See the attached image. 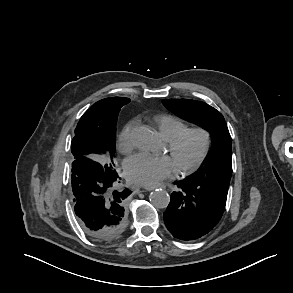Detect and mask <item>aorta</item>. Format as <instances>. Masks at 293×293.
Segmentation results:
<instances>
[{
	"instance_id": "aorta-1",
	"label": "aorta",
	"mask_w": 293,
	"mask_h": 293,
	"mask_svg": "<svg viewBox=\"0 0 293 293\" xmlns=\"http://www.w3.org/2000/svg\"><path fill=\"white\" fill-rule=\"evenodd\" d=\"M133 142L135 146L145 152H150L156 144L154 133L147 127H140L134 132ZM150 202L156 208H166L170 202L169 194L163 189H157L150 193Z\"/></svg>"
}]
</instances>
